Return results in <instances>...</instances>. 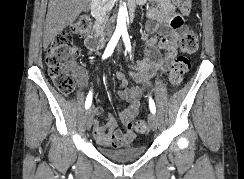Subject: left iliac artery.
Segmentation results:
<instances>
[{"mask_svg":"<svg viewBox=\"0 0 244 179\" xmlns=\"http://www.w3.org/2000/svg\"><path fill=\"white\" fill-rule=\"evenodd\" d=\"M122 38H123L126 50H128V52H130V54H131V43H130V38H129V34H128L127 30L122 31ZM149 107H150V111L155 114L156 107H155V103L151 97H149Z\"/></svg>","mask_w":244,"mask_h":179,"instance_id":"1","label":"left iliac artery"}]
</instances>
